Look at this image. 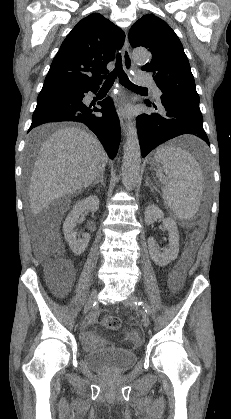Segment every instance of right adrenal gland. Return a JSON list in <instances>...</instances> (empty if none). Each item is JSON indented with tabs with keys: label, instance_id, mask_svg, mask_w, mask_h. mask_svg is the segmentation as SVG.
Here are the masks:
<instances>
[{
	"label": "right adrenal gland",
	"instance_id": "right-adrenal-gland-1",
	"mask_svg": "<svg viewBox=\"0 0 231 419\" xmlns=\"http://www.w3.org/2000/svg\"><path fill=\"white\" fill-rule=\"evenodd\" d=\"M98 183H101L103 186L105 185V183H104V171L101 172V174L97 177V179L92 183L91 186L93 187Z\"/></svg>",
	"mask_w": 231,
	"mask_h": 419
}]
</instances>
